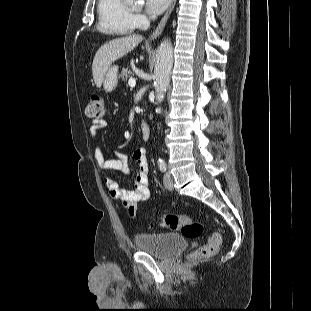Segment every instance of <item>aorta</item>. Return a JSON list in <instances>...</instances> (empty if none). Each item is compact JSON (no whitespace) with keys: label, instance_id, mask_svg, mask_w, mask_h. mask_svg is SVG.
I'll use <instances>...</instances> for the list:
<instances>
[{"label":"aorta","instance_id":"obj_1","mask_svg":"<svg viewBox=\"0 0 311 311\" xmlns=\"http://www.w3.org/2000/svg\"><path fill=\"white\" fill-rule=\"evenodd\" d=\"M173 66V47L168 40L161 42L157 49L156 63H155V81L154 87L156 91V99L160 103L168 89L170 83V74ZM157 113H161V108L156 109Z\"/></svg>","mask_w":311,"mask_h":311}]
</instances>
